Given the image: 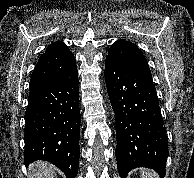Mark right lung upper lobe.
Listing matches in <instances>:
<instances>
[{
	"instance_id": "right-lung-upper-lobe-1",
	"label": "right lung upper lobe",
	"mask_w": 194,
	"mask_h": 178,
	"mask_svg": "<svg viewBox=\"0 0 194 178\" xmlns=\"http://www.w3.org/2000/svg\"><path fill=\"white\" fill-rule=\"evenodd\" d=\"M77 71L74 55L62 42L46 48L38 60L30 80V89L68 79Z\"/></svg>"
}]
</instances>
